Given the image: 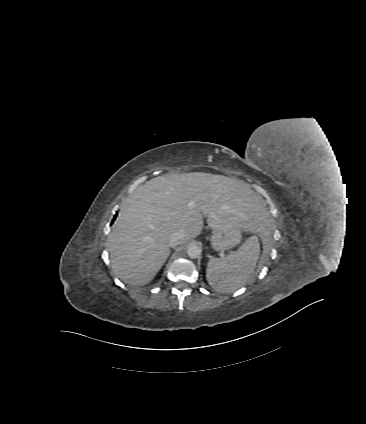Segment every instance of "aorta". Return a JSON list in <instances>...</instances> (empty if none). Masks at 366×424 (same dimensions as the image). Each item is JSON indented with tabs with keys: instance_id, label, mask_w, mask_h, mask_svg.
Masks as SVG:
<instances>
[{
	"instance_id": "1",
	"label": "aorta",
	"mask_w": 366,
	"mask_h": 424,
	"mask_svg": "<svg viewBox=\"0 0 366 424\" xmlns=\"http://www.w3.org/2000/svg\"><path fill=\"white\" fill-rule=\"evenodd\" d=\"M187 254L190 258L196 259L200 256L201 249L197 245L191 244L187 248Z\"/></svg>"
}]
</instances>
